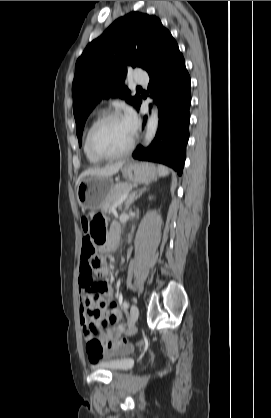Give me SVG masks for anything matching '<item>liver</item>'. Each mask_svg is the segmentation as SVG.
<instances>
[{"label": "liver", "mask_w": 271, "mask_h": 418, "mask_svg": "<svg viewBox=\"0 0 271 418\" xmlns=\"http://www.w3.org/2000/svg\"><path fill=\"white\" fill-rule=\"evenodd\" d=\"M124 165V162H117L111 165H107L103 168H89L86 169L85 171H83L78 180H77V185L80 183V181L87 177V176H103V177H112L113 175H115Z\"/></svg>", "instance_id": "1"}]
</instances>
